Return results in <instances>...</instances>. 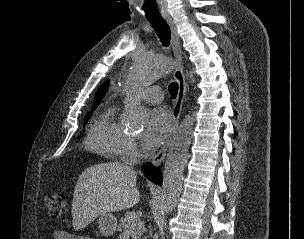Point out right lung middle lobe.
Masks as SVG:
<instances>
[{
    "label": "right lung middle lobe",
    "mask_w": 304,
    "mask_h": 239,
    "mask_svg": "<svg viewBox=\"0 0 304 239\" xmlns=\"http://www.w3.org/2000/svg\"><path fill=\"white\" fill-rule=\"evenodd\" d=\"M96 109V107H94L92 109V111H94ZM92 112L91 113H88L86 116H85V119H84V124L87 122V120L89 119V117L91 116Z\"/></svg>",
    "instance_id": "right-lung-middle-lobe-1"
}]
</instances>
